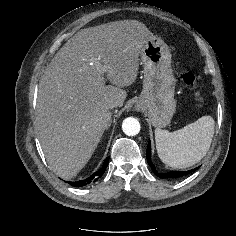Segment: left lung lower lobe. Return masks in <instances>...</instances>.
<instances>
[{
  "mask_svg": "<svg viewBox=\"0 0 236 236\" xmlns=\"http://www.w3.org/2000/svg\"><path fill=\"white\" fill-rule=\"evenodd\" d=\"M147 161H148V164L150 165L152 171L159 178L177 179V178L183 177L187 174H190L191 172H193L194 170L197 169V168H195V169H192V170H189V171H170V172H167V173H158L156 171V168H155L154 164L151 161V143H150V140L148 142V147H147Z\"/></svg>",
  "mask_w": 236,
  "mask_h": 236,
  "instance_id": "left-lung-lower-lobe-1",
  "label": "left lung lower lobe"
}]
</instances>
